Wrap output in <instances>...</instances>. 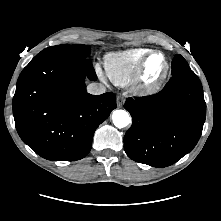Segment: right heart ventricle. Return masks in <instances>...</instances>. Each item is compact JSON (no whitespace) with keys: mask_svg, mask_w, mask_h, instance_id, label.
I'll return each instance as SVG.
<instances>
[{"mask_svg":"<svg viewBox=\"0 0 221 221\" xmlns=\"http://www.w3.org/2000/svg\"><path fill=\"white\" fill-rule=\"evenodd\" d=\"M150 51L149 48L137 47L107 53L104 56L107 75L116 85H127L133 80L140 62Z\"/></svg>","mask_w":221,"mask_h":221,"instance_id":"right-heart-ventricle-1","label":"right heart ventricle"}]
</instances>
